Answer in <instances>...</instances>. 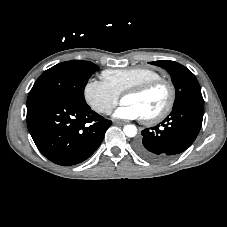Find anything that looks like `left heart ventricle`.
Segmentation results:
<instances>
[{
  "label": "left heart ventricle",
  "instance_id": "left-heart-ventricle-1",
  "mask_svg": "<svg viewBox=\"0 0 227 227\" xmlns=\"http://www.w3.org/2000/svg\"><path fill=\"white\" fill-rule=\"evenodd\" d=\"M168 100V90L160 85L146 94L135 96L127 95L122 98L123 103L136 106L142 117H149L160 112Z\"/></svg>",
  "mask_w": 227,
  "mask_h": 227
}]
</instances>
